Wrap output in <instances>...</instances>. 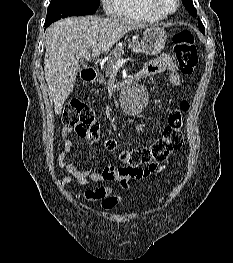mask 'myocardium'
Segmentation results:
<instances>
[{"label":"myocardium","instance_id":"myocardium-1","mask_svg":"<svg viewBox=\"0 0 233 263\" xmlns=\"http://www.w3.org/2000/svg\"><path fill=\"white\" fill-rule=\"evenodd\" d=\"M172 1V7L170 9H167L163 5L162 0H151L152 6L154 9L160 13L162 16H169L173 14L179 7V0H171Z\"/></svg>","mask_w":233,"mask_h":263}]
</instances>
